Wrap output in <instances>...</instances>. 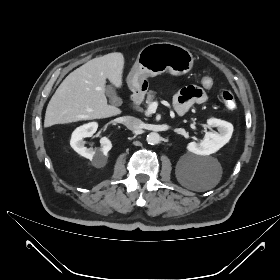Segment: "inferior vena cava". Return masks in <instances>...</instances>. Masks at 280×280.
Here are the masks:
<instances>
[{
	"instance_id": "1",
	"label": "inferior vena cava",
	"mask_w": 280,
	"mask_h": 280,
	"mask_svg": "<svg viewBox=\"0 0 280 280\" xmlns=\"http://www.w3.org/2000/svg\"><path fill=\"white\" fill-rule=\"evenodd\" d=\"M123 123L128 129L133 131H138L142 129V124H143V122L140 119L132 116H125L123 118Z\"/></svg>"
}]
</instances>
